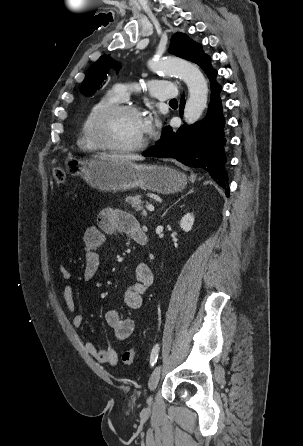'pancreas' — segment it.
Instances as JSON below:
<instances>
[{"instance_id": "pancreas-1", "label": "pancreas", "mask_w": 303, "mask_h": 446, "mask_svg": "<svg viewBox=\"0 0 303 446\" xmlns=\"http://www.w3.org/2000/svg\"><path fill=\"white\" fill-rule=\"evenodd\" d=\"M126 203L130 204L132 208H134L136 211L142 210V214L145 215V211L143 210V202L141 201L140 195L135 196H127L125 198Z\"/></svg>"}]
</instances>
